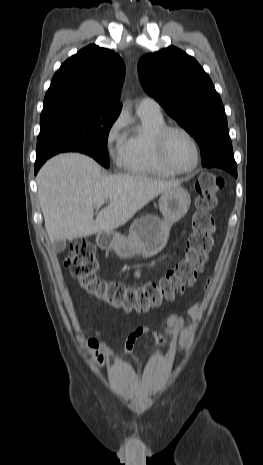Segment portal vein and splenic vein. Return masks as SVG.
<instances>
[{"mask_svg": "<svg viewBox=\"0 0 263 465\" xmlns=\"http://www.w3.org/2000/svg\"><path fill=\"white\" fill-rule=\"evenodd\" d=\"M104 200L98 202V204L96 205L97 208H100L103 204H104Z\"/></svg>", "mask_w": 263, "mask_h": 465, "instance_id": "obj_1", "label": "portal vein and splenic vein"}]
</instances>
